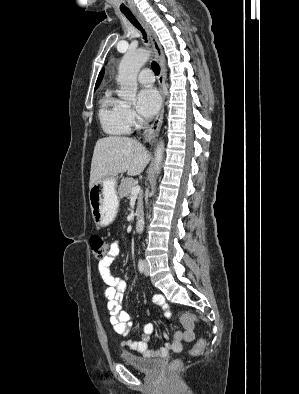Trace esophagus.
Masks as SVG:
<instances>
[{
    "instance_id": "1",
    "label": "esophagus",
    "mask_w": 299,
    "mask_h": 394,
    "mask_svg": "<svg viewBox=\"0 0 299 394\" xmlns=\"http://www.w3.org/2000/svg\"><path fill=\"white\" fill-rule=\"evenodd\" d=\"M138 17L141 19L142 23L144 24L149 38H150V42L152 44L154 53H155V57L158 61V64L160 66V75L158 77V85H159V91L162 97V103H161V107L160 110L155 118V120L153 121V123L148 127V129L145 131V140H149L151 139L154 135H156L162 125V121H163V114H164V102H165V95H164V83H165V69H164V55H163V51L161 48V45L158 41V38L154 32V30L152 29V27L150 26V24L148 22H146V20L138 15Z\"/></svg>"
}]
</instances>
